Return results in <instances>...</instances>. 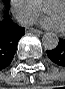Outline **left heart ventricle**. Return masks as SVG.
<instances>
[{"mask_svg":"<svg viewBox=\"0 0 65 89\" xmlns=\"http://www.w3.org/2000/svg\"><path fill=\"white\" fill-rule=\"evenodd\" d=\"M46 12L59 20L63 29H65V7L62 4H47L45 7Z\"/></svg>","mask_w":65,"mask_h":89,"instance_id":"obj_1","label":"left heart ventricle"}]
</instances>
